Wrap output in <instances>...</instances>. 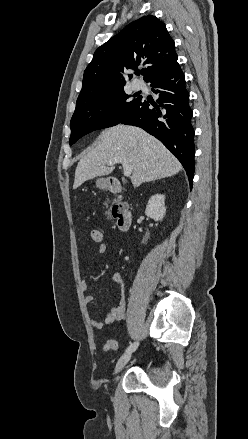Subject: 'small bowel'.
Here are the masks:
<instances>
[{"mask_svg":"<svg viewBox=\"0 0 248 439\" xmlns=\"http://www.w3.org/2000/svg\"><path fill=\"white\" fill-rule=\"evenodd\" d=\"M107 251V246L105 243H102L97 248L98 254H104ZM112 281L119 287L120 290V298L119 302L116 306L112 307L107 313L104 321H98L96 319H92L90 321L92 327L96 329H103L105 326L120 322L126 317V300H125V283L124 279L119 272H115L112 275ZM81 289L83 291H87V284L85 281L81 282ZM86 303H92L95 301V297L92 295H86L84 298Z\"/></svg>","mask_w":248,"mask_h":439,"instance_id":"1","label":"small bowel"}]
</instances>
